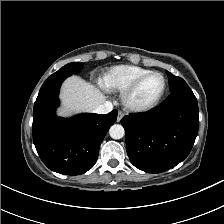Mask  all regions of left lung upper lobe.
<instances>
[{"mask_svg":"<svg viewBox=\"0 0 224 224\" xmlns=\"http://www.w3.org/2000/svg\"><path fill=\"white\" fill-rule=\"evenodd\" d=\"M166 73L168 74L169 86L171 92L187 85L182 78L174 76L168 71H166Z\"/></svg>","mask_w":224,"mask_h":224,"instance_id":"1","label":"left lung upper lobe"}]
</instances>
